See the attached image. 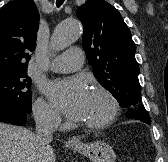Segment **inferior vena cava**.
Here are the masks:
<instances>
[{
	"instance_id": "inferior-vena-cava-1",
	"label": "inferior vena cava",
	"mask_w": 168,
	"mask_h": 162,
	"mask_svg": "<svg viewBox=\"0 0 168 162\" xmlns=\"http://www.w3.org/2000/svg\"><path fill=\"white\" fill-rule=\"evenodd\" d=\"M36 138L40 145L45 146L53 139V132L57 126V117L50 111L41 110L36 113Z\"/></svg>"
}]
</instances>
